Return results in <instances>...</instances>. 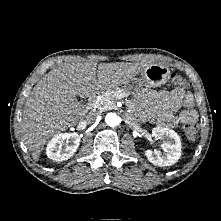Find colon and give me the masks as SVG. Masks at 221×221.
<instances>
[{
    "label": "colon",
    "mask_w": 221,
    "mask_h": 221,
    "mask_svg": "<svg viewBox=\"0 0 221 221\" xmlns=\"http://www.w3.org/2000/svg\"><path fill=\"white\" fill-rule=\"evenodd\" d=\"M185 81L182 76L173 73L171 74L170 85L172 88H180L184 86ZM183 129L188 139L194 140L197 137L198 127L195 121L189 120L182 123Z\"/></svg>",
    "instance_id": "obj_1"
}]
</instances>
